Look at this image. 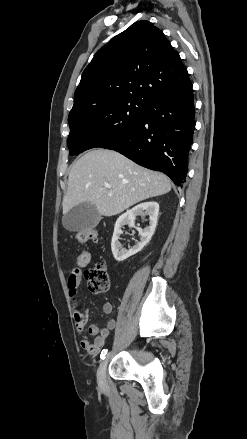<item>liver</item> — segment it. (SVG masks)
Instances as JSON below:
<instances>
[{
  "label": "liver",
  "mask_w": 247,
  "mask_h": 439,
  "mask_svg": "<svg viewBox=\"0 0 247 439\" xmlns=\"http://www.w3.org/2000/svg\"><path fill=\"white\" fill-rule=\"evenodd\" d=\"M105 183L111 188L105 187ZM170 190V179L163 173L144 168L116 151L94 149L70 169L63 214L88 202L100 215L113 216Z\"/></svg>",
  "instance_id": "6515ba94"
}]
</instances>
